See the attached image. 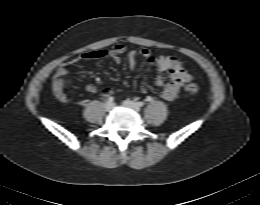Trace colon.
Instances as JSON below:
<instances>
[{"label": "colon", "instance_id": "obj_1", "mask_svg": "<svg viewBox=\"0 0 260 205\" xmlns=\"http://www.w3.org/2000/svg\"><path fill=\"white\" fill-rule=\"evenodd\" d=\"M200 88L199 85L197 83L194 82H188L185 85V91L189 94L195 95L199 92Z\"/></svg>", "mask_w": 260, "mask_h": 205}]
</instances>
